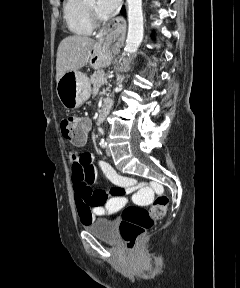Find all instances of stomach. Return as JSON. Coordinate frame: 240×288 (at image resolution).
Listing matches in <instances>:
<instances>
[{"instance_id":"1","label":"stomach","mask_w":240,"mask_h":288,"mask_svg":"<svg viewBox=\"0 0 240 288\" xmlns=\"http://www.w3.org/2000/svg\"><path fill=\"white\" fill-rule=\"evenodd\" d=\"M112 58L109 44L105 41H98L88 53L87 64L94 69H99L108 66ZM56 92L66 109L79 107L91 95L89 78L82 72L69 71L57 82Z\"/></svg>"}]
</instances>
